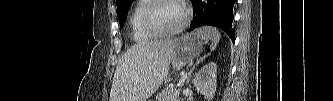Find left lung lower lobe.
<instances>
[{
	"label": "left lung lower lobe",
	"mask_w": 333,
	"mask_h": 101,
	"mask_svg": "<svg viewBox=\"0 0 333 101\" xmlns=\"http://www.w3.org/2000/svg\"><path fill=\"white\" fill-rule=\"evenodd\" d=\"M236 0H192L194 6V20L189 31L202 25L216 26L224 30L233 43L235 42V31L232 28L233 6Z\"/></svg>",
	"instance_id": "1"
}]
</instances>
